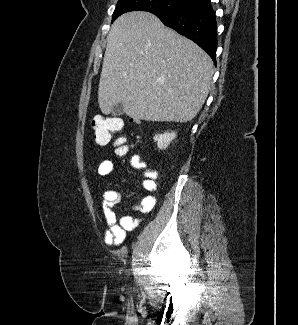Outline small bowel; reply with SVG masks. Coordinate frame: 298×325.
<instances>
[{
  "mask_svg": "<svg viewBox=\"0 0 298 325\" xmlns=\"http://www.w3.org/2000/svg\"><path fill=\"white\" fill-rule=\"evenodd\" d=\"M115 163L111 158H107L100 162L97 172L101 177H105L112 173ZM157 170L146 167L144 170V178L142 181L143 189L146 192H153L157 189ZM102 209L106 222L104 232V241L107 245L120 246L126 239V233L133 231L139 225V221L130 215L118 217L114 211V207L121 201V193L116 189H104L101 192ZM156 204V198L151 194H146L138 205L132 206V210L140 213H149Z\"/></svg>",
  "mask_w": 298,
  "mask_h": 325,
  "instance_id": "small-bowel-1",
  "label": "small bowel"
}]
</instances>
